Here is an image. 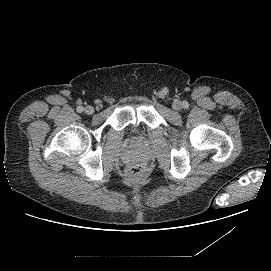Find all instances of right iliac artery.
Instances as JSON below:
<instances>
[{
    "instance_id": "right-iliac-artery-1",
    "label": "right iliac artery",
    "mask_w": 271,
    "mask_h": 271,
    "mask_svg": "<svg viewBox=\"0 0 271 271\" xmlns=\"http://www.w3.org/2000/svg\"><path fill=\"white\" fill-rule=\"evenodd\" d=\"M84 108L82 106H78L77 107V112L81 113L83 112Z\"/></svg>"
}]
</instances>
